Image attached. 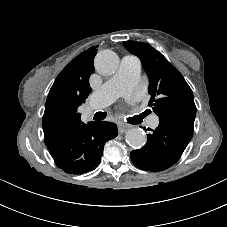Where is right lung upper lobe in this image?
Segmentation results:
<instances>
[{"instance_id":"1","label":"right lung upper lobe","mask_w":227,"mask_h":227,"mask_svg":"<svg viewBox=\"0 0 227 227\" xmlns=\"http://www.w3.org/2000/svg\"><path fill=\"white\" fill-rule=\"evenodd\" d=\"M96 47L76 56L57 76L49 91L42 120L47 148L85 125L77 108L91 92L89 77L94 71Z\"/></svg>"}]
</instances>
